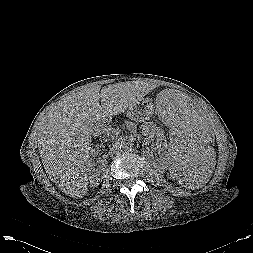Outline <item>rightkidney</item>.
<instances>
[{"label": "right kidney", "instance_id": "1", "mask_svg": "<svg viewBox=\"0 0 253 253\" xmlns=\"http://www.w3.org/2000/svg\"><path fill=\"white\" fill-rule=\"evenodd\" d=\"M90 151V154L93 155L95 150L93 148L90 147L89 149ZM94 164L91 162V160H88L87 163H86V176H87V181L89 180V183L92 185V186H97L99 183H98V177H97V174L96 173H93L94 172ZM96 179V180H95Z\"/></svg>", "mask_w": 253, "mask_h": 253}]
</instances>
